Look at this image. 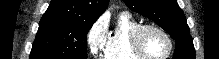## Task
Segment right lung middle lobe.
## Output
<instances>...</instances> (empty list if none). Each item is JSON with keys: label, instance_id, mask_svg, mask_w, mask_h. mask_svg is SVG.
<instances>
[{"label": "right lung middle lobe", "instance_id": "dd1d6c3e", "mask_svg": "<svg viewBox=\"0 0 219 59\" xmlns=\"http://www.w3.org/2000/svg\"><path fill=\"white\" fill-rule=\"evenodd\" d=\"M93 23L42 18L30 59H87L86 34Z\"/></svg>", "mask_w": 219, "mask_h": 59}]
</instances>
